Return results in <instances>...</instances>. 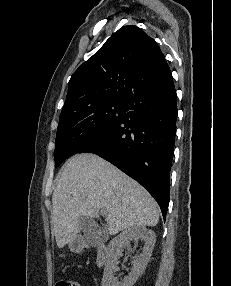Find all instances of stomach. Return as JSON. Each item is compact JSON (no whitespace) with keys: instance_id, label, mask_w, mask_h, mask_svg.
I'll return each mask as SVG.
<instances>
[{"instance_id":"stomach-1","label":"stomach","mask_w":231,"mask_h":286,"mask_svg":"<svg viewBox=\"0 0 231 286\" xmlns=\"http://www.w3.org/2000/svg\"><path fill=\"white\" fill-rule=\"evenodd\" d=\"M69 247L71 248V250H77L78 249V246L76 245L75 241H71L69 243Z\"/></svg>"}]
</instances>
